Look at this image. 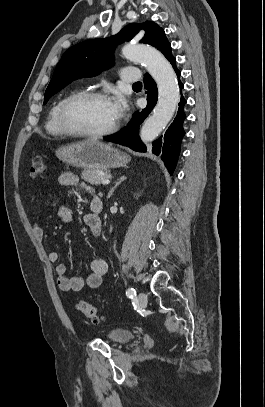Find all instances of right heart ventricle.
Segmentation results:
<instances>
[{"label": "right heart ventricle", "mask_w": 265, "mask_h": 407, "mask_svg": "<svg viewBox=\"0 0 265 407\" xmlns=\"http://www.w3.org/2000/svg\"><path fill=\"white\" fill-rule=\"evenodd\" d=\"M71 93H68L64 96H62L61 98H59L51 107L49 114H48V118L46 121V131L54 136H66L67 134L62 130V128L60 127L59 124V110L60 107L63 103V101L70 95Z\"/></svg>", "instance_id": "right-heart-ventricle-1"}]
</instances>
